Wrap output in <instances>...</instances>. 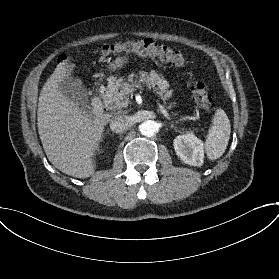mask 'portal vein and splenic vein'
<instances>
[{
    "mask_svg": "<svg viewBox=\"0 0 279 279\" xmlns=\"http://www.w3.org/2000/svg\"><path fill=\"white\" fill-rule=\"evenodd\" d=\"M157 105H158V109L160 111V113L166 118L168 119L169 121H172V118L170 117V115L168 114L166 108L161 105L159 102H157Z\"/></svg>",
    "mask_w": 279,
    "mask_h": 279,
    "instance_id": "obj_1",
    "label": "portal vein and splenic vein"
}]
</instances>
